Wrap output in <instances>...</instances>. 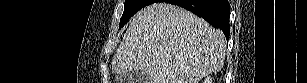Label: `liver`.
<instances>
[{"instance_id": "obj_1", "label": "liver", "mask_w": 307, "mask_h": 83, "mask_svg": "<svg viewBox=\"0 0 307 83\" xmlns=\"http://www.w3.org/2000/svg\"><path fill=\"white\" fill-rule=\"evenodd\" d=\"M225 52L221 30L179 6L154 3L135 15L112 70L120 75L144 71L148 83H198L222 69Z\"/></svg>"}]
</instances>
